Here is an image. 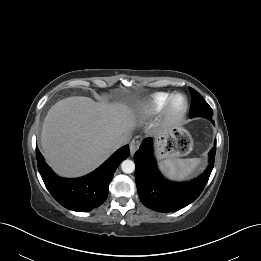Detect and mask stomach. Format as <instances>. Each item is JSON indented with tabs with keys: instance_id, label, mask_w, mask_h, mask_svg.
<instances>
[{
	"instance_id": "1",
	"label": "stomach",
	"mask_w": 261,
	"mask_h": 261,
	"mask_svg": "<svg viewBox=\"0 0 261 261\" xmlns=\"http://www.w3.org/2000/svg\"><path fill=\"white\" fill-rule=\"evenodd\" d=\"M190 133L180 126H171L156 136L155 150L159 160L185 156L192 150Z\"/></svg>"
}]
</instances>
